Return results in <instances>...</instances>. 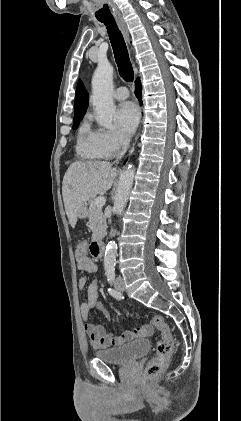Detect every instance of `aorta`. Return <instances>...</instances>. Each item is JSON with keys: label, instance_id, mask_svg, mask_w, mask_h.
Segmentation results:
<instances>
[{"label": "aorta", "instance_id": "1", "mask_svg": "<svg viewBox=\"0 0 241 421\" xmlns=\"http://www.w3.org/2000/svg\"><path fill=\"white\" fill-rule=\"evenodd\" d=\"M113 92V67L107 61H100L92 78V104L96 109L97 122L105 128H113V116L116 107L112 97ZM135 170L131 166L125 168L120 176L116 195L114 198L113 212L120 216L126 206L128 196L134 181ZM117 246L110 242L105 251L104 266L114 267Z\"/></svg>", "mask_w": 241, "mask_h": 421}]
</instances>
